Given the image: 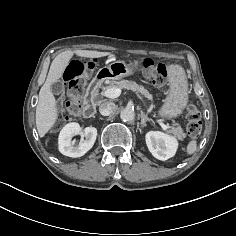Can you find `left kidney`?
Listing matches in <instances>:
<instances>
[{
    "instance_id": "5707ae66",
    "label": "left kidney",
    "mask_w": 236,
    "mask_h": 236,
    "mask_svg": "<svg viewBox=\"0 0 236 236\" xmlns=\"http://www.w3.org/2000/svg\"><path fill=\"white\" fill-rule=\"evenodd\" d=\"M145 139L152 155L162 161L173 157L178 148V142L175 137L159 131L148 132Z\"/></svg>"
}]
</instances>
